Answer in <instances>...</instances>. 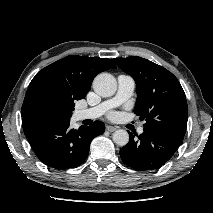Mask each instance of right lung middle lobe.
<instances>
[{"instance_id": "right-lung-middle-lobe-1", "label": "right lung middle lobe", "mask_w": 213, "mask_h": 213, "mask_svg": "<svg viewBox=\"0 0 213 213\" xmlns=\"http://www.w3.org/2000/svg\"><path fill=\"white\" fill-rule=\"evenodd\" d=\"M74 100L63 98L51 91H39L25 106L28 116L48 121H69L74 110Z\"/></svg>"}]
</instances>
